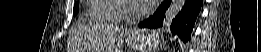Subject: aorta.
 <instances>
[{
	"instance_id": "762f6f07",
	"label": "aorta",
	"mask_w": 261,
	"mask_h": 52,
	"mask_svg": "<svg viewBox=\"0 0 261 52\" xmlns=\"http://www.w3.org/2000/svg\"><path fill=\"white\" fill-rule=\"evenodd\" d=\"M186 0H172L163 17L164 25H170L172 20L181 12Z\"/></svg>"
}]
</instances>
